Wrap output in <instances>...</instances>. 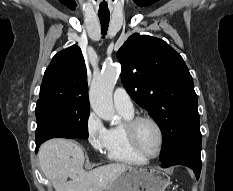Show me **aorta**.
I'll use <instances>...</instances> for the list:
<instances>
[{"label":"aorta","mask_w":233,"mask_h":191,"mask_svg":"<svg viewBox=\"0 0 233 191\" xmlns=\"http://www.w3.org/2000/svg\"><path fill=\"white\" fill-rule=\"evenodd\" d=\"M119 73L120 66L118 64L105 67L99 75L94 77L89 92L90 104L95 114L112 123L119 121L112 100L113 89Z\"/></svg>","instance_id":"aorta-1"}]
</instances>
